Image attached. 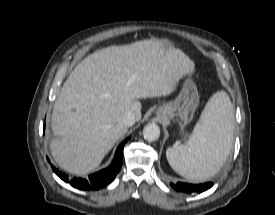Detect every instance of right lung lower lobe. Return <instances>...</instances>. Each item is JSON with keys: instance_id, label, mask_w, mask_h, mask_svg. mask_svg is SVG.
I'll use <instances>...</instances> for the list:
<instances>
[{"instance_id": "obj_1", "label": "right lung lower lobe", "mask_w": 275, "mask_h": 215, "mask_svg": "<svg viewBox=\"0 0 275 215\" xmlns=\"http://www.w3.org/2000/svg\"><path fill=\"white\" fill-rule=\"evenodd\" d=\"M45 128V125H44ZM127 142V139L123 141L120 146L116 150L115 158L112 164L97 173H94L89 176V179L82 178H74L73 180H69L68 176L62 172H59L55 167H53V171L65 182H70V184L78 189L82 190H98L115 178L117 173L119 172L122 166L123 160V148L124 144Z\"/></svg>"}]
</instances>
